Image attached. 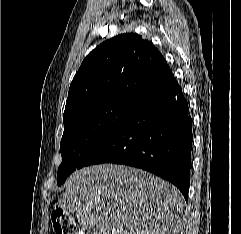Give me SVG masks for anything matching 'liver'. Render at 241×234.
Masks as SVG:
<instances>
[{
    "label": "liver",
    "mask_w": 241,
    "mask_h": 234,
    "mask_svg": "<svg viewBox=\"0 0 241 234\" xmlns=\"http://www.w3.org/2000/svg\"><path fill=\"white\" fill-rule=\"evenodd\" d=\"M59 202L76 214L83 234H178L185 220L184 198L175 186L124 165L75 171Z\"/></svg>",
    "instance_id": "6515ba94"
}]
</instances>
